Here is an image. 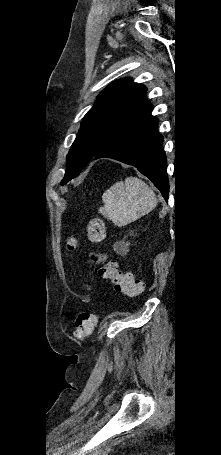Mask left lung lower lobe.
Segmentation results:
<instances>
[{"label":"left lung lower lobe","mask_w":221,"mask_h":455,"mask_svg":"<svg viewBox=\"0 0 221 455\" xmlns=\"http://www.w3.org/2000/svg\"><path fill=\"white\" fill-rule=\"evenodd\" d=\"M157 125L158 119L148 113L110 140L93 159L112 158L135 166L153 182L167 201L166 155Z\"/></svg>","instance_id":"0a47b994"}]
</instances>
